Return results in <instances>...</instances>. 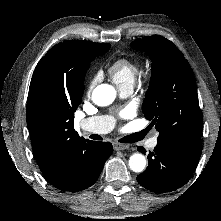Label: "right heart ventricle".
<instances>
[{
    "label": "right heart ventricle",
    "instance_id": "right-heart-ventricle-1",
    "mask_svg": "<svg viewBox=\"0 0 221 221\" xmlns=\"http://www.w3.org/2000/svg\"><path fill=\"white\" fill-rule=\"evenodd\" d=\"M108 74L119 87H133L139 73V63L131 57H118L108 66Z\"/></svg>",
    "mask_w": 221,
    "mask_h": 221
}]
</instances>
